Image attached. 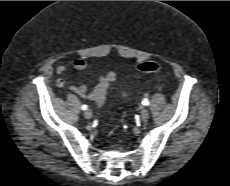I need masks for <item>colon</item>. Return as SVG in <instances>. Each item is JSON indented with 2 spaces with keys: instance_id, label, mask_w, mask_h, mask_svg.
I'll return each instance as SVG.
<instances>
[{
  "instance_id": "colon-1",
  "label": "colon",
  "mask_w": 230,
  "mask_h": 186,
  "mask_svg": "<svg viewBox=\"0 0 230 186\" xmlns=\"http://www.w3.org/2000/svg\"><path fill=\"white\" fill-rule=\"evenodd\" d=\"M138 71L144 72V73H157L162 70L161 65L155 62H143L137 66ZM108 79L110 81H113L115 79V74L114 73H109L107 75ZM105 102L104 98H101L99 100V105H103Z\"/></svg>"
}]
</instances>
